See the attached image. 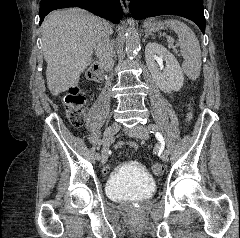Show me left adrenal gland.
<instances>
[{
    "mask_svg": "<svg viewBox=\"0 0 240 238\" xmlns=\"http://www.w3.org/2000/svg\"><path fill=\"white\" fill-rule=\"evenodd\" d=\"M149 35H152L151 33H149L148 31L145 32V38H147Z\"/></svg>",
    "mask_w": 240,
    "mask_h": 238,
    "instance_id": "left-adrenal-gland-1",
    "label": "left adrenal gland"
}]
</instances>
